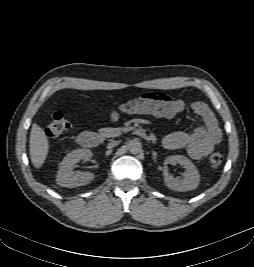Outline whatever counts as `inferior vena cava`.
Masks as SVG:
<instances>
[{
  "instance_id": "602c4592",
  "label": "inferior vena cava",
  "mask_w": 254,
  "mask_h": 267,
  "mask_svg": "<svg viewBox=\"0 0 254 267\" xmlns=\"http://www.w3.org/2000/svg\"><path fill=\"white\" fill-rule=\"evenodd\" d=\"M116 145H117V143L114 141V142L109 143L107 147L108 148H112V147H114Z\"/></svg>"
}]
</instances>
